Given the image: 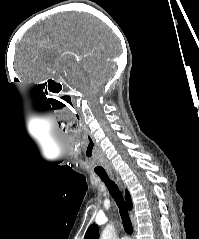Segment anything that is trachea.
<instances>
[{
	"label": "trachea",
	"mask_w": 199,
	"mask_h": 239,
	"mask_svg": "<svg viewBox=\"0 0 199 239\" xmlns=\"http://www.w3.org/2000/svg\"><path fill=\"white\" fill-rule=\"evenodd\" d=\"M97 175L101 178V180L105 183L106 187L108 188L111 196L115 200L119 212L121 215L122 223L124 226V229L127 234H132L133 232V227L132 223L129 219L128 216V210H127V205L124 201V198L122 196V193L120 192L118 186L109 179L108 175L106 173H97Z\"/></svg>",
	"instance_id": "trachea-1"
}]
</instances>
